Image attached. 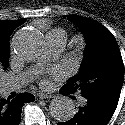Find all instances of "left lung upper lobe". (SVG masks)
<instances>
[{"label": "left lung upper lobe", "instance_id": "5c2ea615", "mask_svg": "<svg viewBox=\"0 0 125 125\" xmlns=\"http://www.w3.org/2000/svg\"><path fill=\"white\" fill-rule=\"evenodd\" d=\"M86 40L85 56L79 73L62 87L68 94L76 91L85 99L119 98L124 65L115 37L98 22L69 15Z\"/></svg>", "mask_w": 125, "mask_h": 125}]
</instances>
